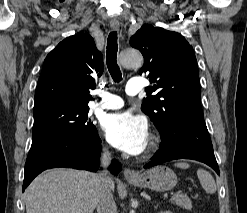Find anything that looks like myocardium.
I'll return each mask as SVG.
<instances>
[{
	"mask_svg": "<svg viewBox=\"0 0 247 213\" xmlns=\"http://www.w3.org/2000/svg\"><path fill=\"white\" fill-rule=\"evenodd\" d=\"M159 146H160V138L155 134H151L146 149L141 155L140 159L147 160L151 158L158 151Z\"/></svg>",
	"mask_w": 247,
	"mask_h": 213,
	"instance_id": "1",
	"label": "myocardium"
}]
</instances>
